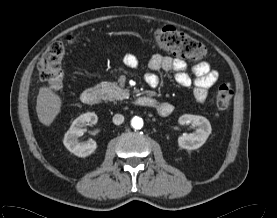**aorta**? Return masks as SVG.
<instances>
[{"instance_id":"1","label":"aorta","mask_w":277,"mask_h":218,"mask_svg":"<svg viewBox=\"0 0 277 218\" xmlns=\"http://www.w3.org/2000/svg\"><path fill=\"white\" fill-rule=\"evenodd\" d=\"M131 126L134 129H141L143 127V119L137 116L133 117L131 120Z\"/></svg>"}]
</instances>
